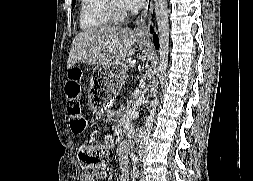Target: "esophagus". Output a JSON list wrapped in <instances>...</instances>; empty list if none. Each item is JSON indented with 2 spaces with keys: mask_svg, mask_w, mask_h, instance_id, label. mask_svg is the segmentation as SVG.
<instances>
[{
  "mask_svg": "<svg viewBox=\"0 0 253 181\" xmlns=\"http://www.w3.org/2000/svg\"><path fill=\"white\" fill-rule=\"evenodd\" d=\"M153 10L154 0H147L143 11L137 19L135 28V34L137 38L148 42L150 41V37L148 35V27L149 21L151 20L153 14Z\"/></svg>",
  "mask_w": 253,
  "mask_h": 181,
  "instance_id": "1",
  "label": "esophagus"
}]
</instances>
